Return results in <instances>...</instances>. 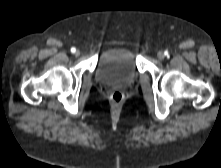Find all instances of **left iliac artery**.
I'll use <instances>...</instances> for the list:
<instances>
[{
	"instance_id": "left-iliac-artery-1",
	"label": "left iliac artery",
	"mask_w": 221,
	"mask_h": 168,
	"mask_svg": "<svg viewBox=\"0 0 221 168\" xmlns=\"http://www.w3.org/2000/svg\"><path fill=\"white\" fill-rule=\"evenodd\" d=\"M165 55L168 56V52L167 51L165 52Z\"/></svg>"
}]
</instances>
